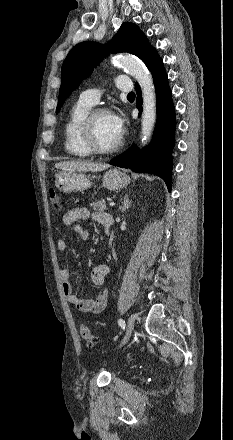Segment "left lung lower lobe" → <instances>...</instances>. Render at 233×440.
I'll return each instance as SVG.
<instances>
[{
  "instance_id": "1",
  "label": "left lung lower lobe",
  "mask_w": 233,
  "mask_h": 440,
  "mask_svg": "<svg viewBox=\"0 0 233 440\" xmlns=\"http://www.w3.org/2000/svg\"><path fill=\"white\" fill-rule=\"evenodd\" d=\"M147 68L151 71L157 105V123L152 142L143 151L134 145L110 161L111 165L130 168L138 173H151L161 177L171 191L172 149L174 146L175 109L163 61L155 54ZM137 108L142 112L141 89L136 83Z\"/></svg>"
}]
</instances>
